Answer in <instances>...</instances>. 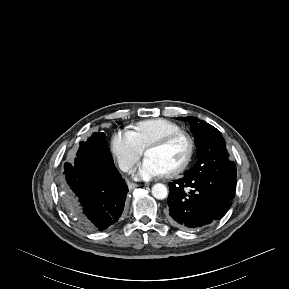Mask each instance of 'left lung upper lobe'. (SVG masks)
<instances>
[{
    "mask_svg": "<svg viewBox=\"0 0 289 289\" xmlns=\"http://www.w3.org/2000/svg\"><path fill=\"white\" fill-rule=\"evenodd\" d=\"M191 124L197 147V163L185 174L196 175L214 171H226L236 178V165L229 161L226 143L221 132L196 117H178Z\"/></svg>",
    "mask_w": 289,
    "mask_h": 289,
    "instance_id": "left-lung-upper-lobe-1",
    "label": "left lung upper lobe"
}]
</instances>
